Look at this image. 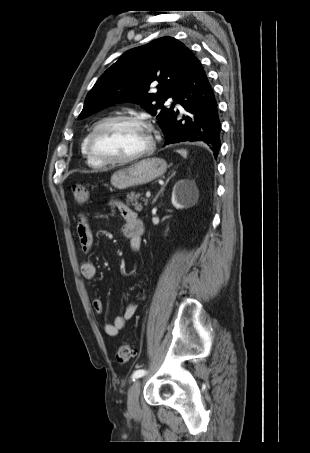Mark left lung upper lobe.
Returning <instances> with one entry per match:
<instances>
[{"mask_svg":"<svg viewBox=\"0 0 310 453\" xmlns=\"http://www.w3.org/2000/svg\"><path fill=\"white\" fill-rule=\"evenodd\" d=\"M191 51L172 37H162L146 45L128 50L108 68L87 94L79 118H84L111 103L135 102L152 115L158 114L161 128L173 112L163 106L171 96L175 99L186 74ZM158 84L156 93H149Z\"/></svg>","mask_w":310,"mask_h":453,"instance_id":"left-lung-upper-lobe-1","label":"left lung upper lobe"}]
</instances>
